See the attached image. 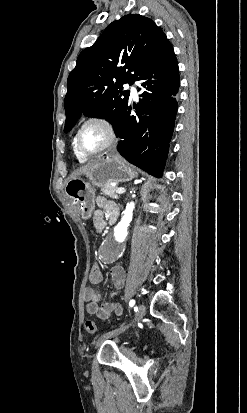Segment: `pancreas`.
Here are the masks:
<instances>
[{
	"label": "pancreas",
	"mask_w": 247,
	"mask_h": 413,
	"mask_svg": "<svg viewBox=\"0 0 247 413\" xmlns=\"http://www.w3.org/2000/svg\"><path fill=\"white\" fill-rule=\"evenodd\" d=\"M102 192L104 194H108V196H111V198H118V194H116V186H111V184H104V186H101Z\"/></svg>",
	"instance_id": "obj_1"
}]
</instances>
